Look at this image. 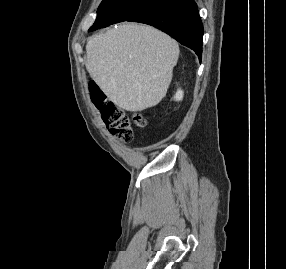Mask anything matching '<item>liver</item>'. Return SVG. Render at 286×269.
Wrapping results in <instances>:
<instances>
[{
	"instance_id": "obj_1",
	"label": "liver",
	"mask_w": 286,
	"mask_h": 269,
	"mask_svg": "<svg viewBox=\"0 0 286 269\" xmlns=\"http://www.w3.org/2000/svg\"><path fill=\"white\" fill-rule=\"evenodd\" d=\"M178 43L147 25L123 23L86 45V69L116 106L131 112L156 106L166 95Z\"/></svg>"
}]
</instances>
